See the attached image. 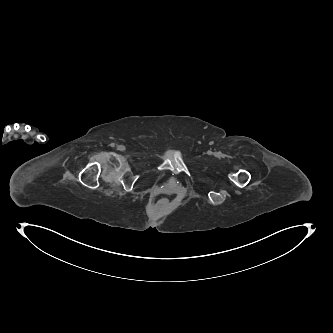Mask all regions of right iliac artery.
I'll return each mask as SVG.
<instances>
[{"mask_svg": "<svg viewBox=\"0 0 333 333\" xmlns=\"http://www.w3.org/2000/svg\"><path fill=\"white\" fill-rule=\"evenodd\" d=\"M117 149L120 150V151H123V150H125V147H124L123 145H119V146L117 147Z\"/></svg>", "mask_w": 333, "mask_h": 333, "instance_id": "1", "label": "right iliac artery"}]
</instances>
